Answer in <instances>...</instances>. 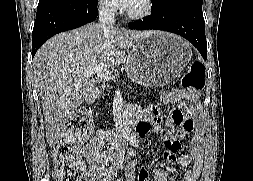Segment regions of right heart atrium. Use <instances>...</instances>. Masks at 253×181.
<instances>
[{"instance_id":"obj_1","label":"right heart atrium","mask_w":253,"mask_h":181,"mask_svg":"<svg viewBox=\"0 0 253 181\" xmlns=\"http://www.w3.org/2000/svg\"><path fill=\"white\" fill-rule=\"evenodd\" d=\"M98 7L107 16H113L117 11L115 0H98Z\"/></svg>"}]
</instances>
